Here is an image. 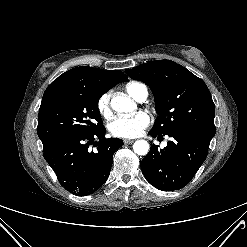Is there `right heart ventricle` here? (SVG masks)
I'll use <instances>...</instances> for the list:
<instances>
[{"label": "right heart ventricle", "instance_id": "e07e8e85", "mask_svg": "<svg viewBox=\"0 0 247 247\" xmlns=\"http://www.w3.org/2000/svg\"><path fill=\"white\" fill-rule=\"evenodd\" d=\"M143 87V85L139 82H130L126 85V91L130 96L136 98L139 90Z\"/></svg>", "mask_w": 247, "mask_h": 247}]
</instances>
